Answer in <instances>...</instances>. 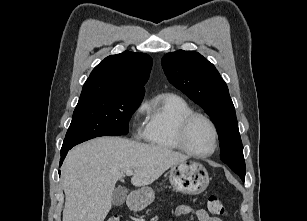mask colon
<instances>
[{
	"label": "colon",
	"instance_id": "5ec220e1",
	"mask_svg": "<svg viewBox=\"0 0 307 221\" xmlns=\"http://www.w3.org/2000/svg\"><path fill=\"white\" fill-rule=\"evenodd\" d=\"M207 207L208 211L213 214V215H225L226 214V209L221 202V200L215 196V195H210L207 199ZM107 221H120L118 216H111L107 219Z\"/></svg>",
	"mask_w": 307,
	"mask_h": 221
}]
</instances>
